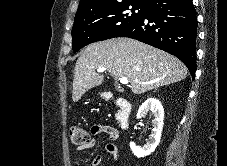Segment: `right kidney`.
I'll return each mask as SVG.
<instances>
[{
  "mask_svg": "<svg viewBox=\"0 0 227 166\" xmlns=\"http://www.w3.org/2000/svg\"><path fill=\"white\" fill-rule=\"evenodd\" d=\"M147 113H150V115L154 117L151 136L147 144L141 148L134 142H130V148L133 154L138 158L148 156L154 152L161 139L164 124V109L161 102L156 98H148L139 108L137 119L144 117Z\"/></svg>",
  "mask_w": 227,
  "mask_h": 166,
  "instance_id": "ca27d5eb",
  "label": "right kidney"
}]
</instances>
